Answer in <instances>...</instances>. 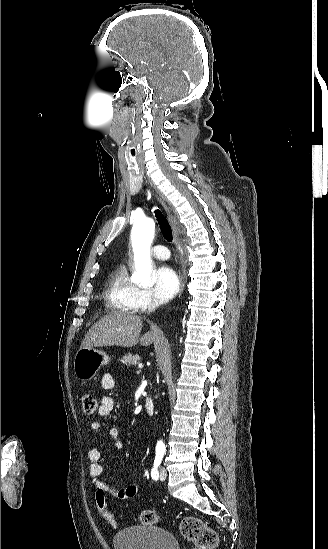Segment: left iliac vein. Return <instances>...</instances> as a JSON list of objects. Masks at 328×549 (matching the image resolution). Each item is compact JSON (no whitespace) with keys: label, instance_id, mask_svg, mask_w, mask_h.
<instances>
[{"label":"left iliac vein","instance_id":"obj_1","mask_svg":"<svg viewBox=\"0 0 328 549\" xmlns=\"http://www.w3.org/2000/svg\"><path fill=\"white\" fill-rule=\"evenodd\" d=\"M166 477H167L166 469H165V468H161V469H160V480H165Z\"/></svg>","mask_w":328,"mask_h":549}]
</instances>
